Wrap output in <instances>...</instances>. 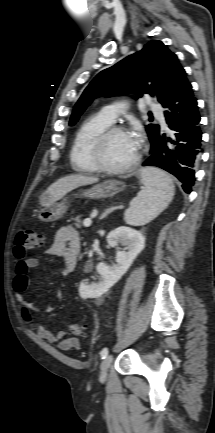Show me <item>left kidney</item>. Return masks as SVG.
Returning a JSON list of instances; mask_svg holds the SVG:
<instances>
[{
	"label": "left kidney",
	"instance_id": "obj_1",
	"mask_svg": "<svg viewBox=\"0 0 215 433\" xmlns=\"http://www.w3.org/2000/svg\"><path fill=\"white\" fill-rule=\"evenodd\" d=\"M109 246L115 247L120 243L124 248L116 252V264L107 266L101 262L97 266L100 280L87 285L80 283L78 292L82 299L97 298L105 294L126 273L136 256L144 249V236L137 230L120 226L112 230L107 236Z\"/></svg>",
	"mask_w": 215,
	"mask_h": 433
}]
</instances>
